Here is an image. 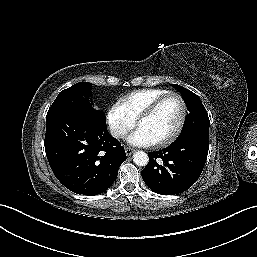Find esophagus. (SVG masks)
Wrapping results in <instances>:
<instances>
[{
    "label": "esophagus",
    "mask_w": 257,
    "mask_h": 257,
    "mask_svg": "<svg viewBox=\"0 0 257 257\" xmlns=\"http://www.w3.org/2000/svg\"><path fill=\"white\" fill-rule=\"evenodd\" d=\"M134 149H132V148H129V147H126L125 148V153H126V155L127 156H130L132 153H134Z\"/></svg>",
    "instance_id": "1"
}]
</instances>
